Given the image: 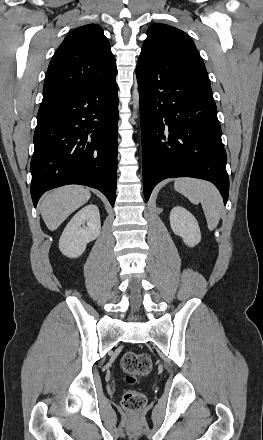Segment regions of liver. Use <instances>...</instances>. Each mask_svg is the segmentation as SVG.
Instances as JSON below:
<instances>
[{
	"mask_svg": "<svg viewBox=\"0 0 263 440\" xmlns=\"http://www.w3.org/2000/svg\"><path fill=\"white\" fill-rule=\"evenodd\" d=\"M90 197V191L78 185L61 187L47 194L40 204L41 216L47 228L50 231L56 230L71 213L84 205Z\"/></svg>",
	"mask_w": 263,
	"mask_h": 440,
	"instance_id": "liver-1",
	"label": "liver"
}]
</instances>
